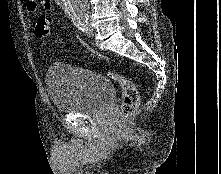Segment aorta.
Listing matches in <instances>:
<instances>
[{"instance_id": "aorta-1", "label": "aorta", "mask_w": 221, "mask_h": 174, "mask_svg": "<svg viewBox=\"0 0 221 174\" xmlns=\"http://www.w3.org/2000/svg\"><path fill=\"white\" fill-rule=\"evenodd\" d=\"M64 12L74 20H85L88 16L89 0H61Z\"/></svg>"}]
</instances>
